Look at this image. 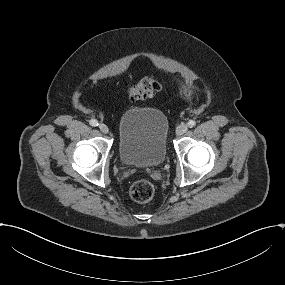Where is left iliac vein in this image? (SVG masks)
Listing matches in <instances>:
<instances>
[{
  "mask_svg": "<svg viewBox=\"0 0 285 285\" xmlns=\"http://www.w3.org/2000/svg\"><path fill=\"white\" fill-rule=\"evenodd\" d=\"M188 129V126L186 124H180L177 128H176V134L181 136L183 135Z\"/></svg>",
  "mask_w": 285,
  "mask_h": 285,
  "instance_id": "4c4485c4",
  "label": "left iliac vein"
}]
</instances>
